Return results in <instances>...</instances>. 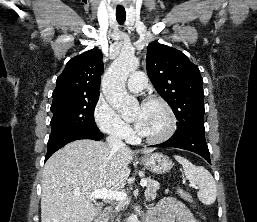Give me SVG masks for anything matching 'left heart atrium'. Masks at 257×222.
<instances>
[{
  "mask_svg": "<svg viewBox=\"0 0 257 222\" xmlns=\"http://www.w3.org/2000/svg\"><path fill=\"white\" fill-rule=\"evenodd\" d=\"M135 128H136V130H137L138 132L141 131V129H142V121H141V120L136 121V123H135Z\"/></svg>",
  "mask_w": 257,
  "mask_h": 222,
  "instance_id": "39dd6f15",
  "label": "left heart atrium"
}]
</instances>
